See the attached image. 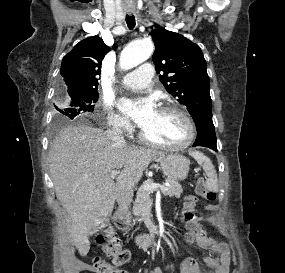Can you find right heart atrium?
<instances>
[{
	"label": "right heart atrium",
	"mask_w": 285,
	"mask_h": 273,
	"mask_svg": "<svg viewBox=\"0 0 285 273\" xmlns=\"http://www.w3.org/2000/svg\"><path fill=\"white\" fill-rule=\"evenodd\" d=\"M107 125L118 134H128L132 131V126L124 117L114 112L111 105L105 103L103 105Z\"/></svg>",
	"instance_id": "1"
}]
</instances>
